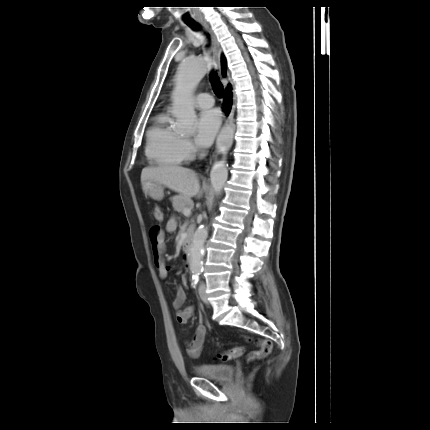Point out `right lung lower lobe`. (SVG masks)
<instances>
[{
  "mask_svg": "<svg viewBox=\"0 0 430 430\" xmlns=\"http://www.w3.org/2000/svg\"><path fill=\"white\" fill-rule=\"evenodd\" d=\"M226 97L228 98L225 100L224 106H225L226 112L228 113L231 105V89L227 91Z\"/></svg>",
  "mask_w": 430,
  "mask_h": 430,
  "instance_id": "98d812e1",
  "label": "right lung lower lobe"
}]
</instances>
